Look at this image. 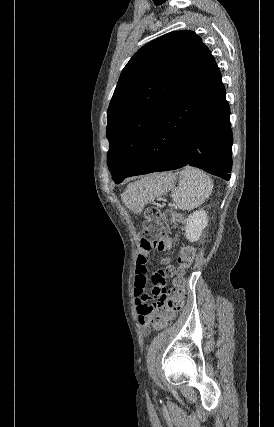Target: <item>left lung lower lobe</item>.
<instances>
[{
    "label": "left lung lower lobe",
    "instance_id": "left-lung-lower-lobe-1",
    "mask_svg": "<svg viewBox=\"0 0 274 427\" xmlns=\"http://www.w3.org/2000/svg\"><path fill=\"white\" fill-rule=\"evenodd\" d=\"M229 114L220 70L210 54L159 117L129 170L113 180L118 184L129 176L186 165L229 180Z\"/></svg>",
    "mask_w": 274,
    "mask_h": 427
}]
</instances>
